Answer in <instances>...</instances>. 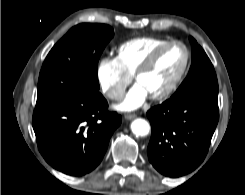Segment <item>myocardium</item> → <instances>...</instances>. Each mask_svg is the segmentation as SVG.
I'll use <instances>...</instances> for the list:
<instances>
[{
    "mask_svg": "<svg viewBox=\"0 0 245 195\" xmlns=\"http://www.w3.org/2000/svg\"><path fill=\"white\" fill-rule=\"evenodd\" d=\"M175 45L180 46L183 49V52H184L183 63L181 65L178 73L175 75V77L172 79V81L168 84L167 87H165L162 91H160L157 94L149 95V98L154 100V101H160V100H163V99L167 98L168 96H170L174 92V90L177 88L179 83L181 82V80H182V78H183V76L187 70L188 64H189V51H188L187 47L185 46V44L180 42V41L174 40V41H168V42L156 47L140 63V65L137 67V69L133 73V79L137 82L138 78L152 67V65L155 63L156 59L158 58V56L163 51H165L169 47H172Z\"/></svg>",
    "mask_w": 245,
    "mask_h": 195,
    "instance_id": "1",
    "label": "myocardium"
}]
</instances>
